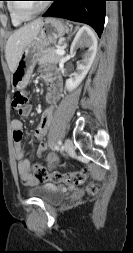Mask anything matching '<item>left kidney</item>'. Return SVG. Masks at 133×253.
<instances>
[{
  "label": "left kidney",
  "mask_w": 133,
  "mask_h": 253,
  "mask_svg": "<svg viewBox=\"0 0 133 253\" xmlns=\"http://www.w3.org/2000/svg\"><path fill=\"white\" fill-rule=\"evenodd\" d=\"M87 47L88 50L84 53L83 59L77 65V70L73 73V77L66 80L67 90L75 89L87 75L97 52V38L94 32L89 27H82L77 32L71 48L70 53L75 54L78 48Z\"/></svg>",
  "instance_id": "obj_1"
}]
</instances>
